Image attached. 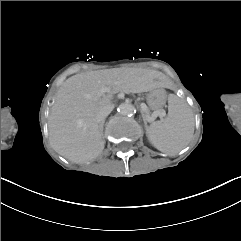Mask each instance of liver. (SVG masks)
Instances as JSON below:
<instances>
[{
    "mask_svg": "<svg viewBox=\"0 0 241 241\" xmlns=\"http://www.w3.org/2000/svg\"><path fill=\"white\" fill-rule=\"evenodd\" d=\"M158 75L154 70L106 69L68 78L57 92L48 120L51 147L74 163L98 157L105 142L96 115L113 105V94L119 91L141 93L161 86L154 81Z\"/></svg>",
    "mask_w": 241,
    "mask_h": 241,
    "instance_id": "liver-1",
    "label": "liver"
}]
</instances>
